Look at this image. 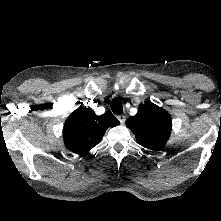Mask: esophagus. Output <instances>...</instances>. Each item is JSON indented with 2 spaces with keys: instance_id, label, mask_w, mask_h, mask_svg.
I'll return each instance as SVG.
<instances>
[{
  "instance_id": "34e87169",
  "label": "esophagus",
  "mask_w": 221,
  "mask_h": 221,
  "mask_svg": "<svg viewBox=\"0 0 221 221\" xmlns=\"http://www.w3.org/2000/svg\"><path fill=\"white\" fill-rule=\"evenodd\" d=\"M118 120L120 121L121 124H124V122L126 121V115H118L117 116Z\"/></svg>"
}]
</instances>
